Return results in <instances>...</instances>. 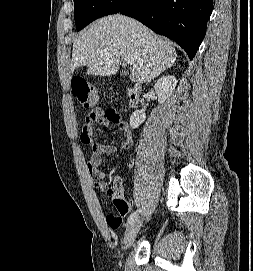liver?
Segmentation results:
<instances>
[{"label": "liver", "instance_id": "1", "mask_svg": "<svg viewBox=\"0 0 253 271\" xmlns=\"http://www.w3.org/2000/svg\"><path fill=\"white\" fill-rule=\"evenodd\" d=\"M120 57L132 61L130 80L147 83L170 68L177 53L149 28L116 14L98 19L74 40L71 73L87 66L88 75L110 76L119 69Z\"/></svg>", "mask_w": 253, "mask_h": 271}]
</instances>
